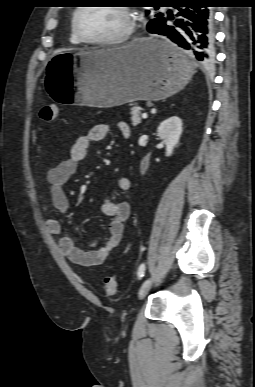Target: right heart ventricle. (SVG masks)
<instances>
[{
  "label": "right heart ventricle",
  "mask_w": 255,
  "mask_h": 387,
  "mask_svg": "<svg viewBox=\"0 0 255 387\" xmlns=\"http://www.w3.org/2000/svg\"><path fill=\"white\" fill-rule=\"evenodd\" d=\"M69 40L73 44H80L81 43V41L75 36L72 28H71L70 35H69Z\"/></svg>",
  "instance_id": "1"
}]
</instances>
